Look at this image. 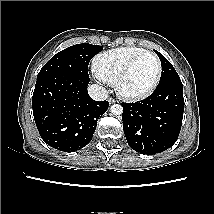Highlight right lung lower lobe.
Instances as JSON below:
<instances>
[{
	"label": "right lung lower lobe",
	"mask_w": 214,
	"mask_h": 214,
	"mask_svg": "<svg viewBox=\"0 0 214 214\" xmlns=\"http://www.w3.org/2000/svg\"><path fill=\"white\" fill-rule=\"evenodd\" d=\"M89 81L66 73L37 79L32 97L34 120L41 138L51 147L73 152L91 141L109 103L89 96Z\"/></svg>",
	"instance_id": "obj_1"
}]
</instances>
